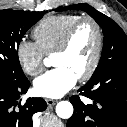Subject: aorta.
I'll use <instances>...</instances> for the list:
<instances>
[{
	"label": "aorta",
	"mask_w": 127,
	"mask_h": 127,
	"mask_svg": "<svg viewBox=\"0 0 127 127\" xmlns=\"http://www.w3.org/2000/svg\"><path fill=\"white\" fill-rule=\"evenodd\" d=\"M56 113L62 119H68L73 114V106L68 101H61L56 106Z\"/></svg>",
	"instance_id": "obj_1"
}]
</instances>
